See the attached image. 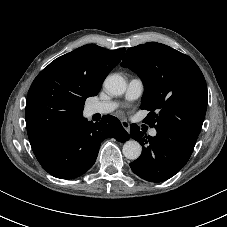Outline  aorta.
<instances>
[{
  "label": "aorta",
  "mask_w": 227,
  "mask_h": 227,
  "mask_svg": "<svg viewBox=\"0 0 227 227\" xmlns=\"http://www.w3.org/2000/svg\"><path fill=\"white\" fill-rule=\"evenodd\" d=\"M104 86L109 94L119 96L124 94L127 84L122 76L119 74H112L107 76L104 81ZM122 152L127 159L136 160L141 155L142 147L139 142L135 140H129L123 145Z\"/></svg>",
  "instance_id": "762f6f07"
}]
</instances>
